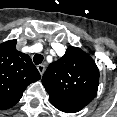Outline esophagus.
I'll return each instance as SVG.
<instances>
[{"instance_id": "34e87169", "label": "esophagus", "mask_w": 117, "mask_h": 117, "mask_svg": "<svg viewBox=\"0 0 117 117\" xmlns=\"http://www.w3.org/2000/svg\"><path fill=\"white\" fill-rule=\"evenodd\" d=\"M37 69H38L39 73L42 75L44 73L45 66L43 64H40L37 66Z\"/></svg>"}]
</instances>
